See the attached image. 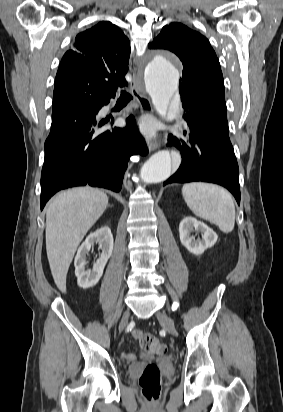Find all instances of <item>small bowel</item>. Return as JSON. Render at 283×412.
Returning a JSON list of instances; mask_svg holds the SVG:
<instances>
[{"instance_id":"c3829d8e","label":"small bowel","mask_w":283,"mask_h":412,"mask_svg":"<svg viewBox=\"0 0 283 412\" xmlns=\"http://www.w3.org/2000/svg\"><path fill=\"white\" fill-rule=\"evenodd\" d=\"M132 334H133V336H134L135 338H139L140 335L142 334V332H141L140 330H134V331L132 332ZM124 357H125V359H126L127 361H129V362H132V361L135 360V356H134L133 354H131V353H125V354H124Z\"/></svg>"}]
</instances>
